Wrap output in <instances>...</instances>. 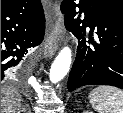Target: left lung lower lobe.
Returning <instances> with one entry per match:
<instances>
[{
    "label": "left lung lower lobe",
    "mask_w": 123,
    "mask_h": 113,
    "mask_svg": "<svg viewBox=\"0 0 123 113\" xmlns=\"http://www.w3.org/2000/svg\"><path fill=\"white\" fill-rule=\"evenodd\" d=\"M66 29L78 39L68 89L111 85L123 89V3L118 0H64ZM86 27L93 33L86 41Z\"/></svg>",
    "instance_id": "obj_1"
}]
</instances>
